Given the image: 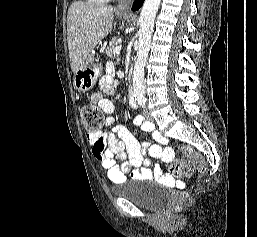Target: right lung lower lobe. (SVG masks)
Segmentation results:
<instances>
[{"instance_id": "1", "label": "right lung lower lobe", "mask_w": 257, "mask_h": 237, "mask_svg": "<svg viewBox=\"0 0 257 237\" xmlns=\"http://www.w3.org/2000/svg\"><path fill=\"white\" fill-rule=\"evenodd\" d=\"M143 1L144 0H135L134 3H133L132 10L133 11L138 10L141 7Z\"/></svg>"}]
</instances>
